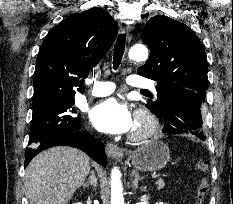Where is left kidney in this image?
<instances>
[{
	"mask_svg": "<svg viewBox=\"0 0 233 204\" xmlns=\"http://www.w3.org/2000/svg\"><path fill=\"white\" fill-rule=\"evenodd\" d=\"M156 204H164L163 202H157ZM166 204V203H165Z\"/></svg>",
	"mask_w": 233,
	"mask_h": 204,
	"instance_id": "5707ae66",
	"label": "left kidney"
}]
</instances>
